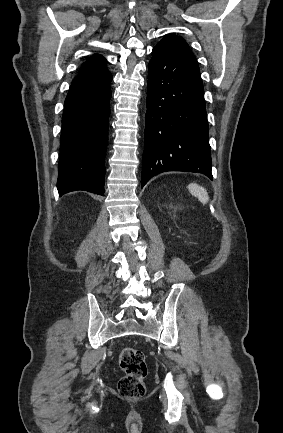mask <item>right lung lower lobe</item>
<instances>
[{
  "mask_svg": "<svg viewBox=\"0 0 283 433\" xmlns=\"http://www.w3.org/2000/svg\"><path fill=\"white\" fill-rule=\"evenodd\" d=\"M111 80L109 74L70 86L62 117L59 196L75 190L104 196Z\"/></svg>",
  "mask_w": 283,
  "mask_h": 433,
  "instance_id": "obj_1",
  "label": "right lung lower lobe"
}]
</instances>
